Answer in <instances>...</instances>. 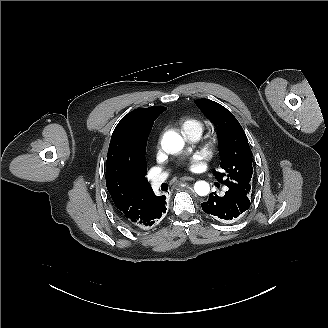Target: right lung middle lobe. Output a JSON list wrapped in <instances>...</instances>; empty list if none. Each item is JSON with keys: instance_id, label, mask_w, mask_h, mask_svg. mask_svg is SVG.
<instances>
[{"instance_id": "1", "label": "right lung middle lobe", "mask_w": 328, "mask_h": 328, "mask_svg": "<svg viewBox=\"0 0 328 328\" xmlns=\"http://www.w3.org/2000/svg\"><path fill=\"white\" fill-rule=\"evenodd\" d=\"M155 120L156 117H145L136 124L131 133L130 142L134 150V156L145 169L147 168L145 153L148 134L150 133Z\"/></svg>"}]
</instances>
